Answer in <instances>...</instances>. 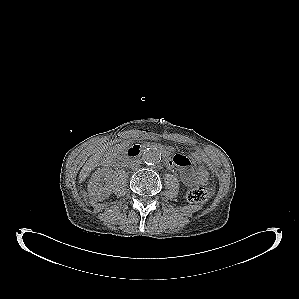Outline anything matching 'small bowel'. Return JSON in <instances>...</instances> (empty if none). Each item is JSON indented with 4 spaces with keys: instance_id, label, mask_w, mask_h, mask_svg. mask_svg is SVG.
I'll return each instance as SVG.
<instances>
[{
    "instance_id": "1",
    "label": "small bowel",
    "mask_w": 299,
    "mask_h": 299,
    "mask_svg": "<svg viewBox=\"0 0 299 299\" xmlns=\"http://www.w3.org/2000/svg\"><path fill=\"white\" fill-rule=\"evenodd\" d=\"M171 160V166L178 167L182 181L185 185L191 186L196 183L193 171L190 169V161L187 157L177 154Z\"/></svg>"
}]
</instances>
